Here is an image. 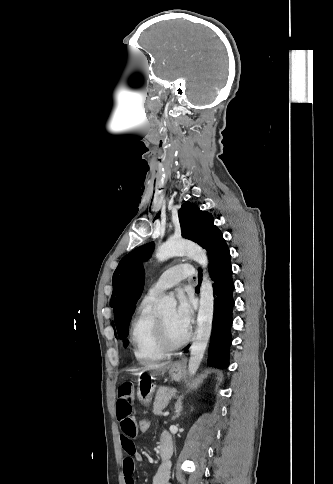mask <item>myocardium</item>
Instances as JSON below:
<instances>
[{"mask_svg": "<svg viewBox=\"0 0 333 484\" xmlns=\"http://www.w3.org/2000/svg\"><path fill=\"white\" fill-rule=\"evenodd\" d=\"M156 337L163 351L171 352L183 347L189 341L190 333L187 332L185 336L178 341H172L168 336L163 319L160 316H157L156 317Z\"/></svg>", "mask_w": 333, "mask_h": 484, "instance_id": "myocardium-1", "label": "myocardium"}]
</instances>
